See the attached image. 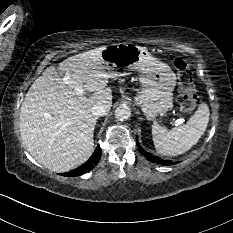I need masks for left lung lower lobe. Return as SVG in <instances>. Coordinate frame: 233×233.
<instances>
[{
  "instance_id": "obj_1",
  "label": "left lung lower lobe",
  "mask_w": 233,
  "mask_h": 233,
  "mask_svg": "<svg viewBox=\"0 0 233 233\" xmlns=\"http://www.w3.org/2000/svg\"><path fill=\"white\" fill-rule=\"evenodd\" d=\"M136 144H137L139 150H140V151L145 155V157H146L148 160H150L151 162H155V163H157V164H162V165H170V164L172 163V162H170V161L163 160V159H161V158H159V157H156V156L150 154L149 152H146V151L140 146V144H139V142H138V139H136Z\"/></svg>"
}]
</instances>
